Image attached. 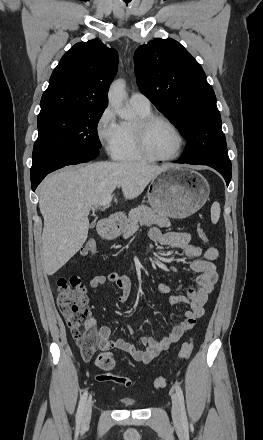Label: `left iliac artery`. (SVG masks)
I'll return each instance as SVG.
<instances>
[{"instance_id":"left-iliac-artery-1","label":"left iliac artery","mask_w":263,"mask_h":440,"mask_svg":"<svg viewBox=\"0 0 263 440\" xmlns=\"http://www.w3.org/2000/svg\"><path fill=\"white\" fill-rule=\"evenodd\" d=\"M175 388H176V394L178 396V399H179V402H180V406H181L182 421L186 424L187 423V418H186V414H185V404H184L183 391H182V389H181V387L179 385H176Z\"/></svg>"}]
</instances>
